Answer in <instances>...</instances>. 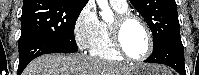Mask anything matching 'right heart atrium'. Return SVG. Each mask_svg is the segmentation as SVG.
<instances>
[{
  "label": "right heart atrium",
  "instance_id": "obj_1",
  "mask_svg": "<svg viewBox=\"0 0 199 75\" xmlns=\"http://www.w3.org/2000/svg\"><path fill=\"white\" fill-rule=\"evenodd\" d=\"M100 33V20L91 6H86L74 24V36L81 50L90 49Z\"/></svg>",
  "mask_w": 199,
  "mask_h": 75
}]
</instances>
